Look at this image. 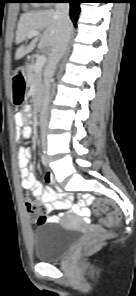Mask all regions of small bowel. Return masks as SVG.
I'll return each instance as SVG.
<instances>
[{"mask_svg":"<svg viewBox=\"0 0 136 296\" xmlns=\"http://www.w3.org/2000/svg\"><path fill=\"white\" fill-rule=\"evenodd\" d=\"M31 118V109L25 106L23 111L15 115V121L22 127L20 134L21 139H27L32 134L31 127L27 122ZM31 150L26 147H21L18 155V167L21 176V184L27 193H31L38 201H40L46 213H50L55 209H72L74 213L89 219L90 210L85 201H81L78 205H73L71 198L64 193L55 192L52 189L45 188L38 182L33 173V168L30 165ZM47 182H54V176L51 173L45 174ZM58 221V217H47L46 223H54ZM104 223L107 225L106 221Z\"/></svg>","mask_w":136,"mask_h":296,"instance_id":"c3829d8e","label":"small bowel"}]
</instances>
